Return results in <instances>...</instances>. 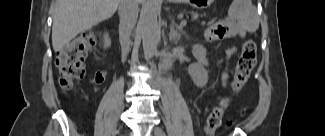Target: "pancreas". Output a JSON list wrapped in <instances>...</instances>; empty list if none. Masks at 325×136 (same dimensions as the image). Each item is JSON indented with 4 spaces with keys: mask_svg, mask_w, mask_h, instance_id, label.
Returning <instances> with one entry per match:
<instances>
[{
    "mask_svg": "<svg viewBox=\"0 0 325 136\" xmlns=\"http://www.w3.org/2000/svg\"><path fill=\"white\" fill-rule=\"evenodd\" d=\"M189 15L192 16L188 18V23L190 24H203L205 23V18H204V13L203 12H198L197 9H190L189 10Z\"/></svg>",
    "mask_w": 325,
    "mask_h": 136,
    "instance_id": "obj_1",
    "label": "pancreas"
}]
</instances>
